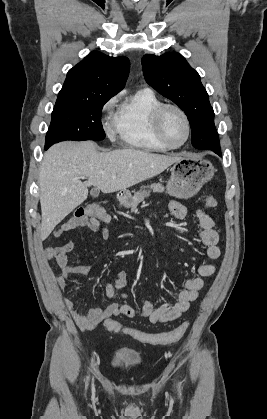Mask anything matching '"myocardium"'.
Returning <instances> with one entry per match:
<instances>
[{
  "mask_svg": "<svg viewBox=\"0 0 267 419\" xmlns=\"http://www.w3.org/2000/svg\"><path fill=\"white\" fill-rule=\"evenodd\" d=\"M169 109H173L175 111H177L181 117L184 120L185 126H186V137L184 139V141L178 145H174L172 144L165 136L164 131H163V118L164 115L166 113L167 110ZM152 126H153V130L154 133L156 135V137L158 138V140L165 145L166 147H168L169 149H177L182 147L183 145H185L187 143V141L190 138L191 135V124H190V120L188 118L187 113L184 111L183 108H181L179 105L177 104H173V103H162L161 105H159L155 111L153 112L152 115Z\"/></svg>",
  "mask_w": 267,
  "mask_h": 419,
  "instance_id": "1",
  "label": "myocardium"
}]
</instances>
